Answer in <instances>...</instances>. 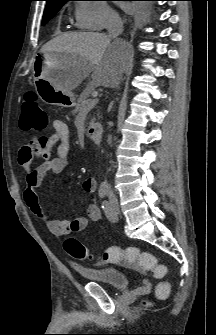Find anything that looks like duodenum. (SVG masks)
<instances>
[{
  "label": "duodenum",
  "mask_w": 216,
  "mask_h": 335,
  "mask_svg": "<svg viewBox=\"0 0 216 335\" xmlns=\"http://www.w3.org/2000/svg\"><path fill=\"white\" fill-rule=\"evenodd\" d=\"M102 125L101 124H94L89 127L88 129V136L89 138L95 143V144H100L101 139H102Z\"/></svg>",
  "instance_id": "410a0bca"
}]
</instances>
